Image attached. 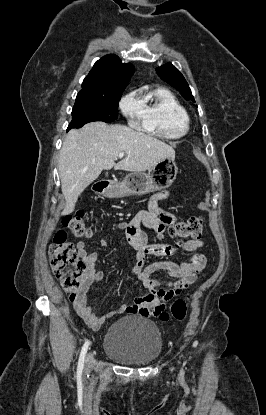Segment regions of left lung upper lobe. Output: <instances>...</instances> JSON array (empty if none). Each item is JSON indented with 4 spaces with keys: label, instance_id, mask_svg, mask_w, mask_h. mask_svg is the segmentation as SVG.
Listing matches in <instances>:
<instances>
[{
    "label": "left lung upper lobe",
    "instance_id": "left-lung-upper-lobe-1",
    "mask_svg": "<svg viewBox=\"0 0 266 415\" xmlns=\"http://www.w3.org/2000/svg\"><path fill=\"white\" fill-rule=\"evenodd\" d=\"M156 72L162 80L176 88L186 100L195 102L187 81L171 63L157 68Z\"/></svg>",
    "mask_w": 266,
    "mask_h": 415
}]
</instances>
